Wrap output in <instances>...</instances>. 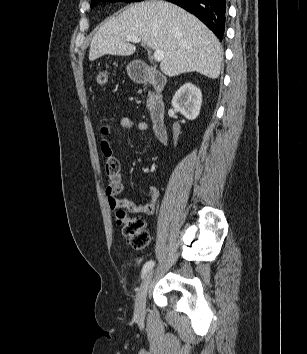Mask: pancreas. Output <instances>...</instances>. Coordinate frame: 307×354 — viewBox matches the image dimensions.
<instances>
[{"label": "pancreas", "instance_id": "cf45deb5", "mask_svg": "<svg viewBox=\"0 0 307 354\" xmlns=\"http://www.w3.org/2000/svg\"><path fill=\"white\" fill-rule=\"evenodd\" d=\"M147 107L149 108V107H150V105L148 104V105H147Z\"/></svg>", "mask_w": 307, "mask_h": 354}]
</instances>
